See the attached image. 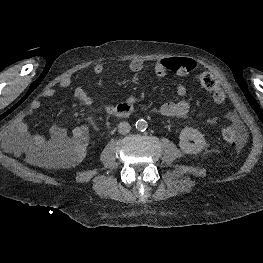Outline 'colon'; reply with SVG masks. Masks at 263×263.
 I'll return each instance as SVG.
<instances>
[{
  "label": "colon",
  "instance_id": "5ec220e1",
  "mask_svg": "<svg viewBox=\"0 0 263 263\" xmlns=\"http://www.w3.org/2000/svg\"><path fill=\"white\" fill-rule=\"evenodd\" d=\"M170 70L180 78H187L192 73L195 64L188 58L172 57L167 62ZM197 82L208 89L217 103L224 107V114L231 117L234 113V105L228 99L223 89L210 74H199ZM86 136L81 132H74L70 135L67 142L54 149L50 154L51 158L57 162H72L79 158L84 150ZM225 141L235 148H240L245 141V133L239 126L227 128L224 131Z\"/></svg>",
  "mask_w": 263,
  "mask_h": 263
}]
</instances>
